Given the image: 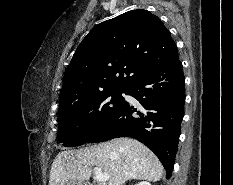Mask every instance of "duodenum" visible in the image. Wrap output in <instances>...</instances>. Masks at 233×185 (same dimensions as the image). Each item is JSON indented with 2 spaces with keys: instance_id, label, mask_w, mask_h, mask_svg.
<instances>
[{
  "instance_id": "410a0bca",
  "label": "duodenum",
  "mask_w": 233,
  "mask_h": 185,
  "mask_svg": "<svg viewBox=\"0 0 233 185\" xmlns=\"http://www.w3.org/2000/svg\"><path fill=\"white\" fill-rule=\"evenodd\" d=\"M86 185H94V184H86Z\"/></svg>"
}]
</instances>
